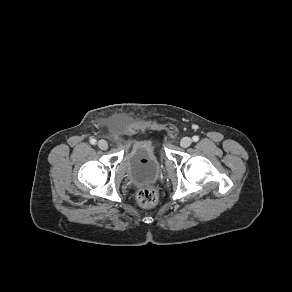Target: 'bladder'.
<instances>
[{"label":"bladder","mask_w":292,"mask_h":292,"mask_svg":"<svg viewBox=\"0 0 292 292\" xmlns=\"http://www.w3.org/2000/svg\"><path fill=\"white\" fill-rule=\"evenodd\" d=\"M125 176L133 184L154 182L161 172V162L153 143L137 142L123 160Z\"/></svg>","instance_id":"1"}]
</instances>
